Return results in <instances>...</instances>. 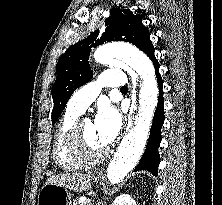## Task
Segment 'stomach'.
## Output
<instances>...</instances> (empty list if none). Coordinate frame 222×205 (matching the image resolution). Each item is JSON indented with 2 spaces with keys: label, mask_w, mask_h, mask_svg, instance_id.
I'll return each instance as SVG.
<instances>
[{
  "label": "stomach",
  "mask_w": 222,
  "mask_h": 205,
  "mask_svg": "<svg viewBox=\"0 0 222 205\" xmlns=\"http://www.w3.org/2000/svg\"><path fill=\"white\" fill-rule=\"evenodd\" d=\"M92 180L97 182L99 177L92 176ZM71 196L63 186L57 184H45L39 192L38 205H68Z\"/></svg>",
  "instance_id": "obj_1"
}]
</instances>
